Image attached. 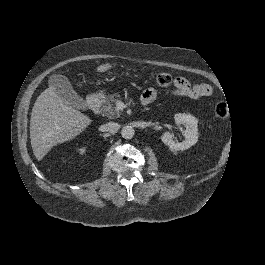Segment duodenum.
Masks as SVG:
<instances>
[{"mask_svg": "<svg viewBox=\"0 0 265 265\" xmlns=\"http://www.w3.org/2000/svg\"><path fill=\"white\" fill-rule=\"evenodd\" d=\"M101 103H102V96L100 94H91L87 98L88 108L93 112L98 111V109L101 106Z\"/></svg>", "mask_w": 265, "mask_h": 265, "instance_id": "1", "label": "duodenum"}]
</instances>
